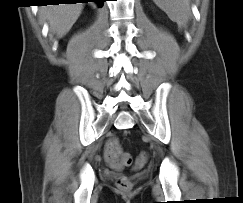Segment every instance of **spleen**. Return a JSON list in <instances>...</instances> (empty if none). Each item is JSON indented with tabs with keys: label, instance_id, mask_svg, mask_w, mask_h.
<instances>
[{
	"label": "spleen",
	"instance_id": "3e777b00",
	"mask_svg": "<svg viewBox=\"0 0 243 203\" xmlns=\"http://www.w3.org/2000/svg\"><path fill=\"white\" fill-rule=\"evenodd\" d=\"M168 17L178 24L185 27L191 14L190 0H153Z\"/></svg>",
	"mask_w": 243,
	"mask_h": 203
}]
</instances>
